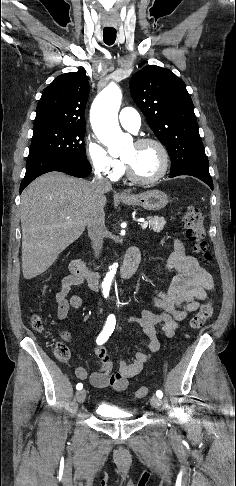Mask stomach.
Here are the masks:
<instances>
[{"label":"stomach","instance_id":"0dacf381","mask_svg":"<svg viewBox=\"0 0 236 486\" xmlns=\"http://www.w3.org/2000/svg\"><path fill=\"white\" fill-rule=\"evenodd\" d=\"M121 200L126 205H139L147 210L158 211L167 205L168 196L161 190H149L139 195L122 198Z\"/></svg>","mask_w":236,"mask_h":486}]
</instances>
